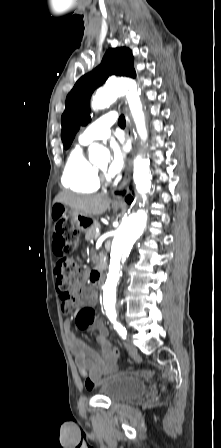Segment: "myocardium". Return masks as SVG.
<instances>
[{
	"instance_id": "f54148a6",
	"label": "myocardium",
	"mask_w": 221,
	"mask_h": 448,
	"mask_svg": "<svg viewBox=\"0 0 221 448\" xmlns=\"http://www.w3.org/2000/svg\"><path fill=\"white\" fill-rule=\"evenodd\" d=\"M98 169H99L100 176H101L102 180L109 181V178L103 174V170L101 168H98Z\"/></svg>"
}]
</instances>
